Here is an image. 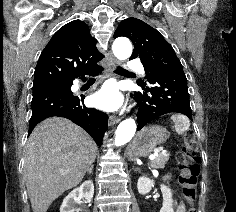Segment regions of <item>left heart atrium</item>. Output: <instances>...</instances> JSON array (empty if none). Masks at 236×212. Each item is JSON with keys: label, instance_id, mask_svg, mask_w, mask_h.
<instances>
[{"label": "left heart atrium", "instance_id": "1", "mask_svg": "<svg viewBox=\"0 0 236 212\" xmlns=\"http://www.w3.org/2000/svg\"><path fill=\"white\" fill-rule=\"evenodd\" d=\"M92 103L103 110L113 111L122 105V96L114 84H105L92 96Z\"/></svg>", "mask_w": 236, "mask_h": 212}]
</instances>
